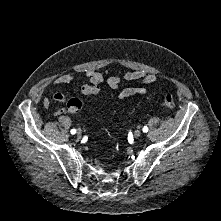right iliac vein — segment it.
Instances as JSON below:
<instances>
[{"label": "right iliac vein", "instance_id": "63e3f726", "mask_svg": "<svg viewBox=\"0 0 221 221\" xmlns=\"http://www.w3.org/2000/svg\"><path fill=\"white\" fill-rule=\"evenodd\" d=\"M77 136H78V137H81V136H82V130H81V129H78V130H77Z\"/></svg>", "mask_w": 221, "mask_h": 221}]
</instances>
